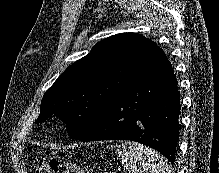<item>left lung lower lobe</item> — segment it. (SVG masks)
<instances>
[{
	"mask_svg": "<svg viewBox=\"0 0 219 173\" xmlns=\"http://www.w3.org/2000/svg\"><path fill=\"white\" fill-rule=\"evenodd\" d=\"M180 94L171 63L158 48L138 80L112 102L78 140H132L154 148L171 164L179 137Z\"/></svg>",
	"mask_w": 219,
	"mask_h": 173,
	"instance_id": "1",
	"label": "left lung lower lobe"
}]
</instances>
